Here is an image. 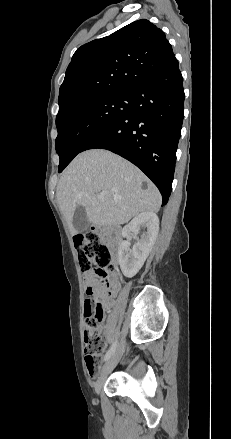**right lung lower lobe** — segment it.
Listing matches in <instances>:
<instances>
[{
    "label": "right lung lower lobe",
    "mask_w": 231,
    "mask_h": 439,
    "mask_svg": "<svg viewBox=\"0 0 231 439\" xmlns=\"http://www.w3.org/2000/svg\"><path fill=\"white\" fill-rule=\"evenodd\" d=\"M183 77L175 61L132 94L130 110L103 129L82 151L110 150L139 167L168 202L184 118Z\"/></svg>",
    "instance_id": "98d812e1"
}]
</instances>
